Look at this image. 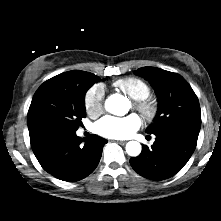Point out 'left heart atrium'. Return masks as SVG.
Segmentation results:
<instances>
[{
    "instance_id": "39dd6f15",
    "label": "left heart atrium",
    "mask_w": 221,
    "mask_h": 221,
    "mask_svg": "<svg viewBox=\"0 0 221 221\" xmlns=\"http://www.w3.org/2000/svg\"><path fill=\"white\" fill-rule=\"evenodd\" d=\"M140 125V119L136 114L124 117L105 116L96 123L95 130L107 138L125 139L132 136Z\"/></svg>"
}]
</instances>
